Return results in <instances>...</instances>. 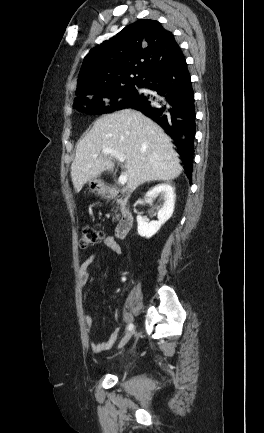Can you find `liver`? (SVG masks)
Returning a JSON list of instances; mask_svg holds the SVG:
<instances>
[{
  "label": "liver",
  "instance_id": "liver-1",
  "mask_svg": "<svg viewBox=\"0 0 264 433\" xmlns=\"http://www.w3.org/2000/svg\"><path fill=\"white\" fill-rule=\"evenodd\" d=\"M111 148L125 155L127 188L136 190L151 181L177 178L182 167L170 138L151 119L138 111L124 109L104 115L78 142L71 165V178L79 193L87 181L104 171H113L110 155L97 154Z\"/></svg>",
  "mask_w": 264,
  "mask_h": 433
}]
</instances>
